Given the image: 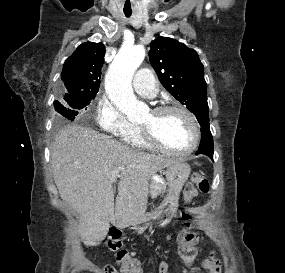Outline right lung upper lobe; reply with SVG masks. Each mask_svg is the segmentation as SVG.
Segmentation results:
<instances>
[{"label": "right lung upper lobe", "mask_w": 285, "mask_h": 273, "mask_svg": "<svg viewBox=\"0 0 285 273\" xmlns=\"http://www.w3.org/2000/svg\"><path fill=\"white\" fill-rule=\"evenodd\" d=\"M105 46L102 43L85 42L67 58L61 73L69 97L96 95L99 90Z\"/></svg>", "instance_id": "obj_1"}]
</instances>
